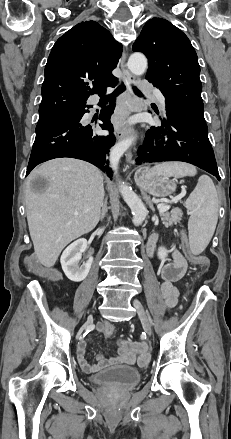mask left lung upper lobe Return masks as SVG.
I'll list each match as a JSON object with an SVG mask.
<instances>
[{
    "mask_svg": "<svg viewBox=\"0 0 231 439\" xmlns=\"http://www.w3.org/2000/svg\"><path fill=\"white\" fill-rule=\"evenodd\" d=\"M148 58L146 79L169 104L205 122L197 54L187 36L165 19L153 18L132 47Z\"/></svg>",
    "mask_w": 231,
    "mask_h": 439,
    "instance_id": "1",
    "label": "left lung upper lobe"
}]
</instances>
